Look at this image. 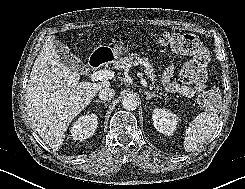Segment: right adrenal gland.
Here are the masks:
<instances>
[{
  "label": "right adrenal gland",
  "instance_id": "right-adrenal-gland-1",
  "mask_svg": "<svg viewBox=\"0 0 245 189\" xmlns=\"http://www.w3.org/2000/svg\"><path fill=\"white\" fill-rule=\"evenodd\" d=\"M94 102H96V103H102V104L105 103V101H101V100H97V99L94 100Z\"/></svg>",
  "mask_w": 245,
  "mask_h": 189
}]
</instances>
